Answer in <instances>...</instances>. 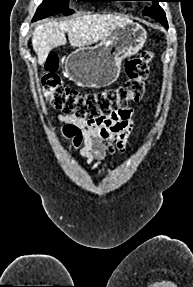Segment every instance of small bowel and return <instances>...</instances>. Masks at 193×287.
Listing matches in <instances>:
<instances>
[{"label":"small bowel","instance_id":"1","mask_svg":"<svg viewBox=\"0 0 193 287\" xmlns=\"http://www.w3.org/2000/svg\"><path fill=\"white\" fill-rule=\"evenodd\" d=\"M132 108H121L100 120H84L74 114H59L56 121L60 124L64 138L73 142L75 156L86 158L92 168L100 165L108 156L124 151L128 138L134 129Z\"/></svg>","mask_w":193,"mask_h":287}]
</instances>
